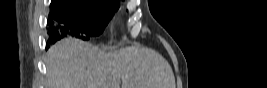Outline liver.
Instances as JSON below:
<instances>
[{"label": "liver", "mask_w": 267, "mask_h": 88, "mask_svg": "<svg viewBox=\"0 0 267 88\" xmlns=\"http://www.w3.org/2000/svg\"><path fill=\"white\" fill-rule=\"evenodd\" d=\"M45 64L48 88H175L166 59L141 46L105 52L65 38L46 52Z\"/></svg>", "instance_id": "1"}]
</instances>
